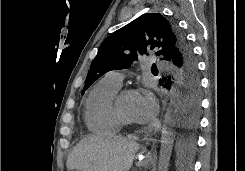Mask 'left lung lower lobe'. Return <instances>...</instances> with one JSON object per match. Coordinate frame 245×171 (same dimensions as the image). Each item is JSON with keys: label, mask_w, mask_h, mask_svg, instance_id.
<instances>
[{"label": "left lung lower lobe", "mask_w": 245, "mask_h": 171, "mask_svg": "<svg viewBox=\"0 0 245 171\" xmlns=\"http://www.w3.org/2000/svg\"><path fill=\"white\" fill-rule=\"evenodd\" d=\"M193 54V52H192ZM177 54L172 58L175 65L174 77L165 79L164 87L170 89L171 79L175 81V86L179 96V110L181 112V124L183 131L176 136L175 146L178 154V167H189L190 158L195 147V137L191 129L198 122L200 110V82L196 61H184L188 56Z\"/></svg>", "instance_id": "left-lung-lower-lobe-1"}]
</instances>
